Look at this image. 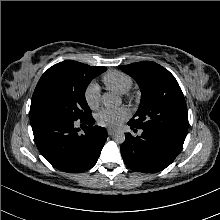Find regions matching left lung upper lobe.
Here are the masks:
<instances>
[{
    "label": "left lung upper lobe",
    "mask_w": 220,
    "mask_h": 220,
    "mask_svg": "<svg viewBox=\"0 0 220 220\" xmlns=\"http://www.w3.org/2000/svg\"><path fill=\"white\" fill-rule=\"evenodd\" d=\"M120 69L135 79L142 93L140 106L129 123L136 128L160 130L185 140L188 113L175 77L152 61L123 65Z\"/></svg>",
    "instance_id": "obj_1"
}]
</instances>
